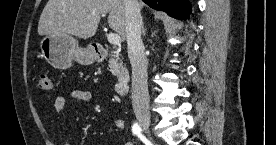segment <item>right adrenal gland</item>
Masks as SVG:
<instances>
[{"label":"right adrenal gland","instance_id":"obj_1","mask_svg":"<svg viewBox=\"0 0 276 145\" xmlns=\"http://www.w3.org/2000/svg\"><path fill=\"white\" fill-rule=\"evenodd\" d=\"M142 33H143V35L146 34V29L144 28V26H142Z\"/></svg>","mask_w":276,"mask_h":145}]
</instances>
